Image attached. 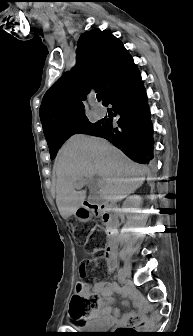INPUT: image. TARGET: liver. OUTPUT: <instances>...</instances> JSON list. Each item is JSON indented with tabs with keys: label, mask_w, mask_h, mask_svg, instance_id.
Here are the masks:
<instances>
[{
	"label": "liver",
	"mask_w": 193,
	"mask_h": 336,
	"mask_svg": "<svg viewBox=\"0 0 193 336\" xmlns=\"http://www.w3.org/2000/svg\"><path fill=\"white\" fill-rule=\"evenodd\" d=\"M54 172L56 204L62 218L67 219L86 199V190L78 191L85 180H91L94 175L100 176L101 180L97 183L99 197L117 202L143 184L148 169L131 161L102 138L77 135L59 151Z\"/></svg>",
	"instance_id": "1"
}]
</instances>
